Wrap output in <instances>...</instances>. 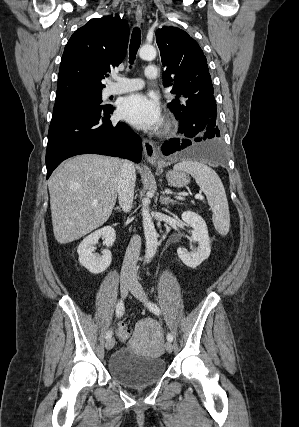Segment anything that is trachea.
<instances>
[{"label": "trachea", "mask_w": 299, "mask_h": 427, "mask_svg": "<svg viewBox=\"0 0 299 427\" xmlns=\"http://www.w3.org/2000/svg\"><path fill=\"white\" fill-rule=\"evenodd\" d=\"M141 43V31L138 27H135L133 29L131 40H130V47H129V63L133 64L137 51L140 47Z\"/></svg>", "instance_id": "3493384b"}]
</instances>
